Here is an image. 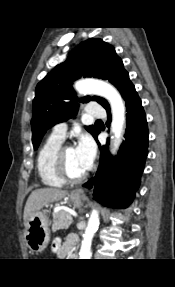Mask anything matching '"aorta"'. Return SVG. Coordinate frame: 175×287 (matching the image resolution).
I'll return each instance as SVG.
<instances>
[{
    "label": "aorta",
    "instance_id": "1",
    "mask_svg": "<svg viewBox=\"0 0 175 287\" xmlns=\"http://www.w3.org/2000/svg\"><path fill=\"white\" fill-rule=\"evenodd\" d=\"M76 90L82 94H96L107 99L111 105L112 123L111 132L113 133V149L115 153L121 143L123 127L125 124V105L119 92L110 84L95 81L82 80L76 83ZM99 226V215L97 210H93L89 217L87 227L85 229L81 249L79 253L80 259H91V243L93 236Z\"/></svg>",
    "mask_w": 175,
    "mask_h": 287
}]
</instances>
